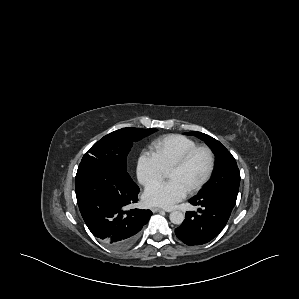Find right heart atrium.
Wrapping results in <instances>:
<instances>
[{
    "label": "right heart atrium",
    "instance_id": "right-heart-atrium-1",
    "mask_svg": "<svg viewBox=\"0 0 299 299\" xmlns=\"http://www.w3.org/2000/svg\"><path fill=\"white\" fill-rule=\"evenodd\" d=\"M136 174L138 181L142 185L148 186L161 180L165 176L166 171L154 153L144 150L138 156Z\"/></svg>",
    "mask_w": 299,
    "mask_h": 299
}]
</instances>
